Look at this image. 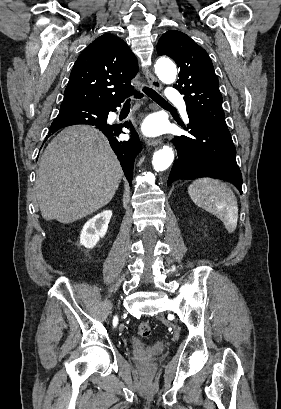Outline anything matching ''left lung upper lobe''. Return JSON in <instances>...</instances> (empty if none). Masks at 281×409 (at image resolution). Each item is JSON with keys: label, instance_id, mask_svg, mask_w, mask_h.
<instances>
[{"label": "left lung upper lobe", "instance_id": "obj_1", "mask_svg": "<svg viewBox=\"0 0 281 409\" xmlns=\"http://www.w3.org/2000/svg\"><path fill=\"white\" fill-rule=\"evenodd\" d=\"M157 52L171 57L180 67L174 87L184 95L187 113L227 126L219 82L206 51L186 34L170 30L159 39Z\"/></svg>", "mask_w": 281, "mask_h": 409}]
</instances>
